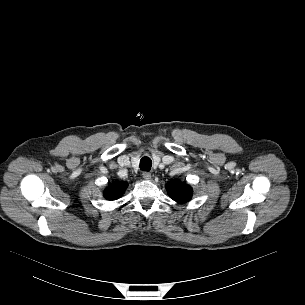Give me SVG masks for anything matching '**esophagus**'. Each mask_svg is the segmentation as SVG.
Wrapping results in <instances>:
<instances>
[{
  "label": "esophagus",
  "instance_id": "1",
  "mask_svg": "<svg viewBox=\"0 0 305 305\" xmlns=\"http://www.w3.org/2000/svg\"><path fill=\"white\" fill-rule=\"evenodd\" d=\"M142 176L145 180H150L151 179V173H149V172H143Z\"/></svg>",
  "mask_w": 305,
  "mask_h": 305
}]
</instances>
